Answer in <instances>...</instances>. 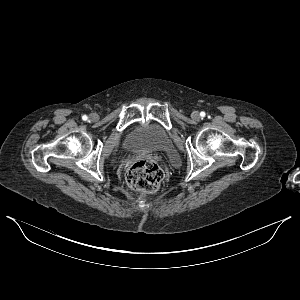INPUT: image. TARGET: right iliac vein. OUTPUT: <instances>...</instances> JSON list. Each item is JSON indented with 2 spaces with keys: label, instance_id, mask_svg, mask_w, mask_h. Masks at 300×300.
<instances>
[{
  "label": "right iliac vein",
  "instance_id": "obj_1",
  "mask_svg": "<svg viewBox=\"0 0 300 300\" xmlns=\"http://www.w3.org/2000/svg\"><path fill=\"white\" fill-rule=\"evenodd\" d=\"M89 119L91 121L95 122L98 120V115L96 113H92V114H90Z\"/></svg>",
  "mask_w": 300,
  "mask_h": 300
}]
</instances>
